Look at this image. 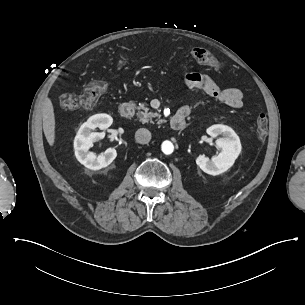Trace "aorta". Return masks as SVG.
Masks as SVG:
<instances>
[{
  "instance_id": "aorta-1",
  "label": "aorta",
  "mask_w": 305,
  "mask_h": 305,
  "mask_svg": "<svg viewBox=\"0 0 305 305\" xmlns=\"http://www.w3.org/2000/svg\"><path fill=\"white\" fill-rule=\"evenodd\" d=\"M162 152L166 155H170L174 150V145L172 142L166 140L161 145Z\"/></svg>"
}]
</instances>
